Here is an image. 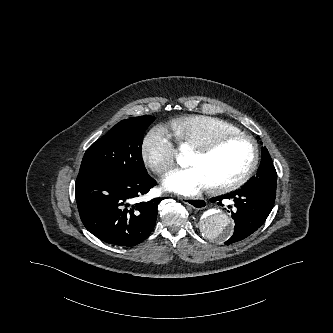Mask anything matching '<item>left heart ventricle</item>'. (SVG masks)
<instances>
[{
    "label": "left heart ventricle",
    "mask_w": 333,
    "mask_h": 333,
    "mask_svg": "<svg viewBox=\"0 0 333 333\" xmlns=\"http://www.w3.org/2000/svg\"><path fill=\"white\" fill-rule=\"evenodd\" d=\"M253 153V146L247 140H230L208 155L192 152L188 165L200 169L210 185H216L232 181L245 172L251 164Z\"/></svg>",
    "instance_id": "obj_1"
}]
</instances>
